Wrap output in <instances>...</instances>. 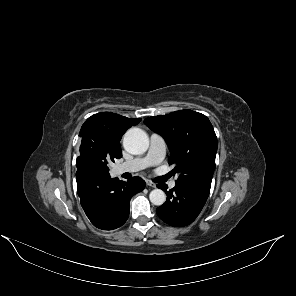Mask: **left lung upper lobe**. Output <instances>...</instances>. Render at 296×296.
Returning a JSON list of instances; mask_svg holds the SVG:
<instances>
[{
  "label": "left lung upper lobe",
  "instance_id": "5c2ea615",
  "mask_svg": "<svg viewBox=\"0 0 296 296\" xmlns=\"http://www.w3.org/2000/svg\"><path fill=\"white\" fill-rule=\"evenodd\" d=\"M144 123L166 141L169 164L180 175L176 184L211 185L217 152V137L209 119L192 110L149 117Z\"/></svg>",
  "mask_w": 296,
  "mask_h": 296
}]
</instances>
